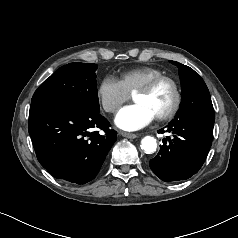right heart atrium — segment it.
Segmentation results:
<instances>
[{
    "label": "right heart atrium",
    "instance_id": "1",
    "mask_svg": "<svg viewBox=\"0 0 238 238\" xmlns=\"http://www.w3.org/2000/svg\"><path fill=\"white\" fill-rule=\"evenodd\" d=\"M97 97L106 112L115 113L129 99V94L118 79L107 76L98 85Z\"/></svg>",
    "mask_w": 238,
    "mask_h": 238
}]
</instances>
